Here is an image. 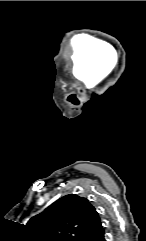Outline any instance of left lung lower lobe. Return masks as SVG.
Instances as JSON below:
<instances>
[{
  "instance_id": "obj_1",
  "label": "left lung lower lobe",
  "mask_w": 146,
  "mask_h": 241,
  "mask_svg": "<svg viewBox=\"0 0 146 241\" xmlns=\"http://www.w3.org/2000/svg\"><path fill=\"white\" fill-rule=\"evenodd\" d=\"M104 234V229L101 224L96 230L84 236L80 241H106Z\"/></svg>"
}]
</instances>
